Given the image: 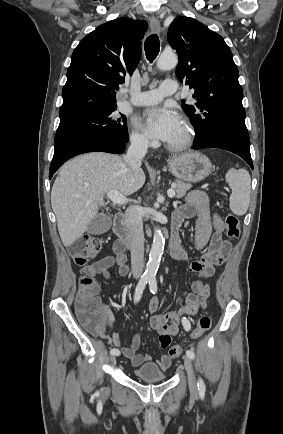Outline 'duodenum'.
I'll use <instances>...</instances> for the list:
<instances>
[{
  "instance_id": "obj_1",
  "label": "duodenum",
  "mask_w": 283,
  "mask_h": 434,
  "mask_svg": "<svg viewBox=\"0 0 283 434\" xmlns=\"http://www.w3.org/2000/svg\"><path fill=\"white\" fill-rule=\"evenodd\" d=\"M113 231L118 237V241L126 250L132 247V236L125 225V216L122 212H117L113 219ZM179 238L178 226L171 227L170 242H174Z\"/></svg>"
}]
</instances>
